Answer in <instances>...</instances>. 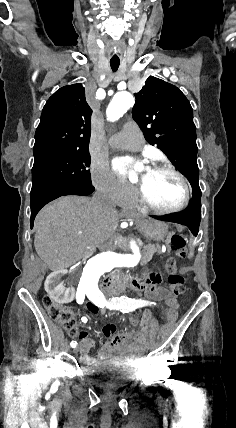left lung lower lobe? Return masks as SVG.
<instances>
[{"label":"left lung lower lobe","mask_w":236,"mask_h":428,"mask_svg":"<svg viewBox=\"0 0 236 428\" xmlns=\"http://www.w3.org/2000/svg\"><path fill=\"white\" fill-rule=\"evenodd\" d=\"M201 191L192 193V199L188 207L182 212L164 215V216H152L155 219L179 223L187 226L194 236H197L200 220H201Z\"/></svg>","instance_id":"obj_1"}]
</instances>
